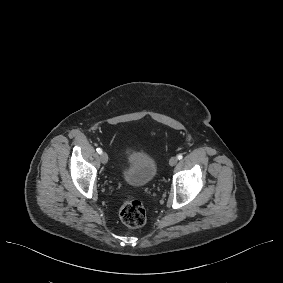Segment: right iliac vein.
Returning a JSON list of instances; mask_svg holds the SVG:
<instances>
[{"label":"right iliac vein","mask_w":283,"mask_h":283,"mask_svg":"<svg viewBox=\"0 0 283 283\" xmlns=\"http://www.w3.org/2000/svg\"><path fill=\"white\" fill-rule=\"evenodd\" d=\"M100 159L103 164H106L108 162L107 154L105 152L101 153Z\"/></svg>","instance_id":"1"}]
</instances>
